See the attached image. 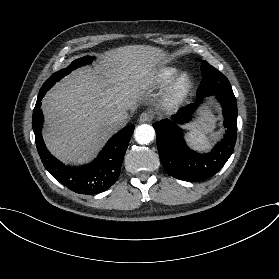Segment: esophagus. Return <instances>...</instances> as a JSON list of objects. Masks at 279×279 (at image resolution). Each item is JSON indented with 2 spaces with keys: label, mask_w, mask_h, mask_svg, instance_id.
I'll use <instances>...</instances> for the list:
<instances>
[{
  "label": "esophagus",
  "mask_w": 279,
  "mask_h": 279,
  "mask_svg": "<svg viewBox=\"0 0 279 279\" xmlns=\"http://www.w3.org/2000/svg\"><path fill=\"white\" fill-rule=\"evenodd\" d=\"M151 119H152L151 113L143 112V113H141V115L139 117V122L144 123V122L150 121Z\"/></svg>",
  "instance_id": "obj_1"
}]
</instances>
